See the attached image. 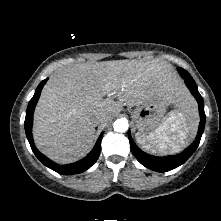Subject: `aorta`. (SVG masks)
<instances>
[{
    "mask_svg": "<svg viewBox=\"0 0 221 221\" xmlns=\"http://www.w3.org/2000/svg\"><path fill=\"white\" fill-rule=\"evenodd\" d=\"M128 126V121L126 119H117L113 125L116 132H126L128 130Z\"/></svg>",
    "mask_w": 221,
    "mask_h": 221,
    "instance_id": "1",
    "label": "aorta"
}]
</instances>
